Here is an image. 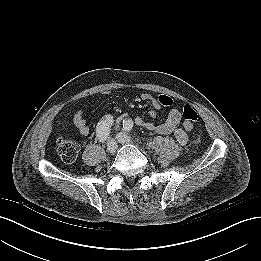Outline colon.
<instances>
[{
    "label": "colon",
    "mask_w": 261,
    "mask_h": 261,
    "mask_svg": "<svg viewBox=\"0 0 261 261\" xmlns=\"http://www.w3.org/2000/svg\"><path fill=\"white\" fill-rule=\"evenodd\" d=\"M158 99L166 105L171 103V99L164 95H158ZM183 117L185 121L190 123H194L198 120V114L196 110L188 104L183 107ZM196 142L197 141H195V143ZM56 150L63 162L72 163L76 160L80 147L76 142L61 139L57 142Z\"/></svg>",
    "instance_id": "colon-1"
}]
</instances>
